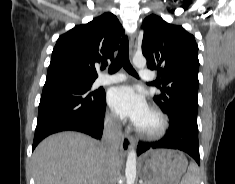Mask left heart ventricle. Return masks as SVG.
Listing matches in <instances>:
<instances>
[{
    "instance_id": "1",
    "label": "left heart ventricle",
    "mask_w": 235,
    "mask_h": 184,
    "mask_svg": "<svg viewBox=\"0 0 235 184\" xmlns=\"http://www.w3.org/2000/svg\"><path fill=\"white\" fill-rule=\"evenodd\" d=\"M156 125L157 119L155 115L149 111L140 123L139 128L144 131H151L156 127Z\"/></svg>"
}]
</instances>
